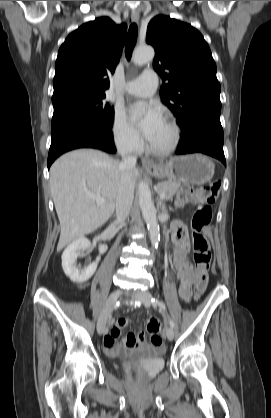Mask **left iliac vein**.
Wrapping results in <instances>:
<instances>
[{
  "instance_id": "1",
  "label": "left iliac vein",
  "mask_w": 271,
  "mask_h": 418,
  "mask_svg": "<svg viewBox=\"0 0 271 418\" xmlns=\"http://www.w3.org/2000/svg\"><path fill=\"white\" fill-rule=\"evenodd\" d=\"M131 296L135 299L141 301L144 306L150 307L151 305V294L148 291H137L131 294ZM165 334L168 340H173L174 338V331L171 327H166Z\"/></svg>"
}]
</instances>
